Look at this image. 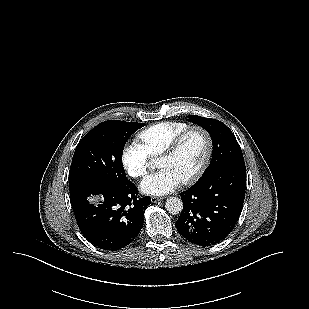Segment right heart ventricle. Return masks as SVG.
I'll return each instance as SVG.
<instances>
[{"label":"right heart ventricle","instance_id":"right-heart-ventricle-1","mask_svg":"<svg viewBox=\"0 0 309 309\" xmlns=\"http://www.w3.org/2000/svg\"><path fill=\"white\" fill-rule=\"evenodd\" d=\"M190 125L180 121H165L153 124L138 134L140 144L151 157L158 156Z\"/></svg>","mask_w":309,"mask_h":309}]
</instances>
